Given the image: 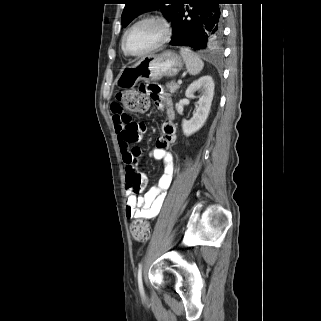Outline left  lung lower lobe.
Wrapping results in <instances>:
<instances>
[{
  "label": "left lung lower lobe",
  "mask_w": 321,
  "mask_h": 321,
  "mask_svg": "<svg viewBox=\"0 0 321 321\" xmlns=\"http://www.w3.org/2000/svg\"><path fill=\"white\" fill-rule=\"evenodd\" d=\"M219 4H223V0H183L171 21L173 36L170 44L219 54L223 43Z\"/></svg>",
  "instance_id": "0a47b994"
}]
</instances>
